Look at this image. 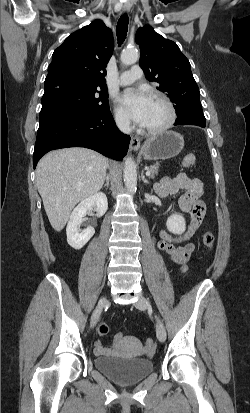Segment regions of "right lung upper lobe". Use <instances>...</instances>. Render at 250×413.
<instances>
[{"instance_id":"cb5924a9","label":"right lung upper lobe","mask_w":250,"mask_h":413,"mask_svg":"<svg viewBox=\"0 0 250 413\" xmlns=\"http://www.w3.org/2000/svg\"><path fill=\"white\" fill-rule=\"evenodd\" d=\"M112 53L113 34L102 21L72 33L52 55L45 93L65 85L106 89L105 68Z\"/></svg>"}]
</instances>
